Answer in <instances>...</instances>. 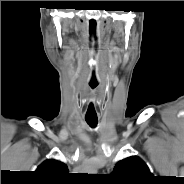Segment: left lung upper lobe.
I'll list each match as a JSON object with an SVG mask.
<instances>
[{
  "instance_id": "1",
  "label": "left lung upper lobe",
  "mask_w": 184,
  "mask_h": 184,
  "mask_svg": "<svg viewBox=\"0 0 184 184\" xmlns=\"http://www.w3.org/2000/svg\"><path fill=\"white\" fill-rule=\"evenodd\" d=\"M111 176L117 184H147L153 175L139 157L131 156L119 161Z\"/></svg>"
}]
</instances>
